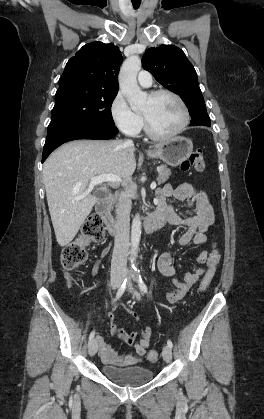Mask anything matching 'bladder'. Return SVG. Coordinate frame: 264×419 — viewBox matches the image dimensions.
Masks as SVG:
<instances>
[{
	"instance_id": "1",
	"label": "bladder",
	"mask_w": 264,
	"mask_h": 419,
	"mask_svg": "<svg viewBox=\"0 0 264 419\" xmlns=\"http://www.w3.org/2000/svg\"><path fill=\"white\" fill-rule=\"evenodd\" d=\"M101 370L106 378L120 386H141L150 382L153 378V371L143 366L117 367L103 365Z\"/></svg>"
}]
</instances>
